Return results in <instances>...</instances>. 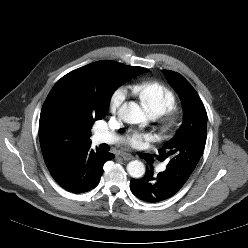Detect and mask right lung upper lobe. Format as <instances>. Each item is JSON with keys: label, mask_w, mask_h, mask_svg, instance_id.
Returning <instances> with one entry per match:
<instances>
[{"label": "right lung upper lobe", "mask_w": 248, "mask_h": 248, "mask_svg": "<svg viewBox=\"0 0 248 248\" xmlns=\"http://www.w3.org/2000/svg\"><path fill=\"white\" fill-rule=\"evenodd\" d=\"M94 63L108 68L112 67L115 61L103 60ZM87 66L73 70L64 77L81 76V73L89 68ZM57 88L58 83L52 88L44 102L39 120L40 146L44 161L50 172L55 171L62 163L81 149L91 146L90 131L84 122L61 114L54 108L53 98ZM108 108L109 104L105 101L98 102L94 106L93 115L98 116Z\"/></svg>", "instance_id": "1"}]
</instances>
